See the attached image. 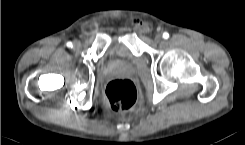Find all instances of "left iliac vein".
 <instances>
[{
    "instance_id": "1",
    "label": "left iliac vein",
    "mask_w": 245,
    "mask_h": 145,
    "mask_svg": "<svg viewBox=\"0 0 245 145\" xmlns=\"http://www.w3.org/2000/svg\"><path fill=\"white\" fill-rule=\"evenodd\" d=\"M161 39H162V35H160V34H157V35L155 36V38H154V40H155L156 42H160Z\"/></svg>"
}]
</instances>
